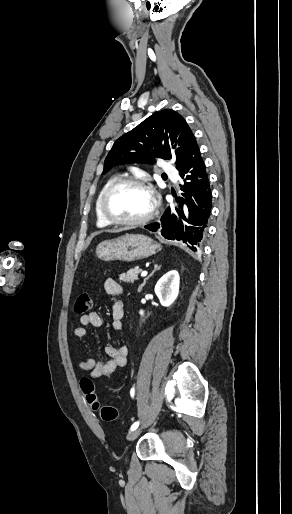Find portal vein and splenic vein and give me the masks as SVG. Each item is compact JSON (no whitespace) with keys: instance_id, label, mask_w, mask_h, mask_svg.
I'll list each match as a JSON object with an SVG mask.
<instances>
[{"instance_id":"obj_1","label":"portal vein and splenic vein","mask_w":292,"mask_h":514,"mask_svg":"<svg viewBox=\"0 0 292 514\" xmlns=\"http://www.w3.org/2000/svg\"><path fill=\"white\" fill-rule=\"evenodd\" d=\"M148 272H142L141 276H147Z\"/></svg>"}]
</instances>
